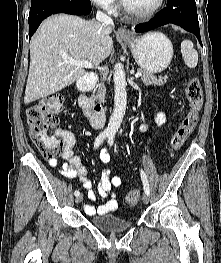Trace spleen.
I'll return each mask as SVG.
<instances>
[{"label": "spleen", "instance_id": "1", "mask_svg": "<svg viewBox=\"0 0 221 263\" xmlns=\"http://www.w3.org/2000/svg\"><path fill=\"white\" fill-rule=\"evenodd\" d=\"M181 52L185 64L189 68H195L198 63V52L194 49L193 42L190 40H184L181 43Z\"/></svg>", "mask_w": 221, "mask_h": 263}]
</instances>
